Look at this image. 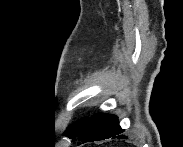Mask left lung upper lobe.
I'll return each mask as SVG.
<instances>
[{
	"instance_id": "left-lung-upper-lobe-1",
	"label": "left lung upper lobe",
	"mask_w": 183,
	"mask_h": 147,
	"mask_svg": "<svg viewBox=\"0 0 183 147\" xmlns=\"http://www.w3.org/2000/svg\"><path fill=\"white\" fill-rule=\"evenodd\" d=\"M85 120H82L74 125H72L68 130L66 131V135L69 136L70 138H74L77 133L79 132L81 126L83 125Z\"/></svg>"
}]
</instances>
